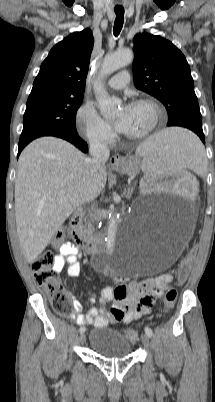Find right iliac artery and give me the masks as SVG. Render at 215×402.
<instances>
[{
	"instance_id": "82829eb1",
	"label": "right iliac artery",
	"mask_w": 215,
	"mask_h": 402,
	"mask_svg": "<svg viewBox=\"0 0 215 402\" xmlns=\"http://www.w3.org/2000/svg\"><path fill=\"white\" fill-rule=\"evenodd\" d=\"M84 332H85V328H84V327H80L79 333H84Z\"/></svg>"
}]
</instances>
